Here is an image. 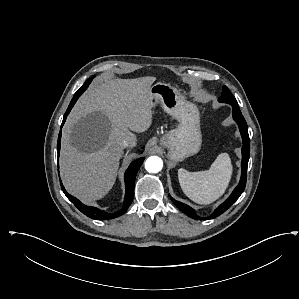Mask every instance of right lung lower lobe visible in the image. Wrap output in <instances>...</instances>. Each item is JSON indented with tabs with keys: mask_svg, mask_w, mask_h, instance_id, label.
<instances>
[{
	"mask_svg": "<svg viewBox=\"0 0 299 299\" xmlns=\"http://www.w3.org/2000/svg\"><path fill=\"white\" fill-rule=\"evenodd\" d=\"M79 96H80V94L74 95L73 99L71 100L70 105L63 117L62 125L64 124V122L67 118V115L71 111L72 107L76 103ZM60 139H61V131L59 133L58 142H57L58 156H59V151H60ZM143 161H144V158H139V159L135 160L134 162H132L130 164V166L128 167V169L125 172L124 180H125L126 192H125L124 207L118 212L108 213L103 210H99L95 207L86 206V205L82 204L78 199L69 195L67 193V191L65 190L62 183L60 184L61 189L64 192V194L66 195V197L70 201H72V203L77 207V209H79L86 216L96 219V220H106V219L116 218L126 212V210L128 209L129 205L131 204V202L133 200L136 174H137L140 166L142 165Z\"/></svg>",
	"mask_w": 299,
	"mask_h": 299,
	"instance_id": "98d812e1",
	"label": "right lung lower lobe"
}]
</instances>
